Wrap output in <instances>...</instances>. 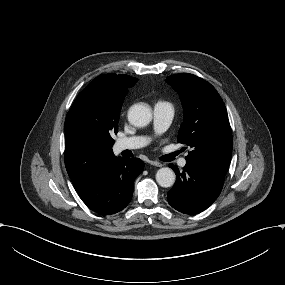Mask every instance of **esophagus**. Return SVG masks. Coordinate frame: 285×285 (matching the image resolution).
Returning a JSON list of instances; mask_svg holds the SVG:
<instances>
[{"instance_id": "esophagus-1", "label": "esophagus", "mask_w": 285, "mask_h": 285, "mask_svg": "<svg viewBox=\"0 0 285 285\" xmlns=\"http://www.w3.org/2000/svg\"><path fill=\"white\" fill-rule=\"evenodd\" d=\"M149 164L156 167H162V164L158 161H150Z\"/></svg>"}]
</instances>
